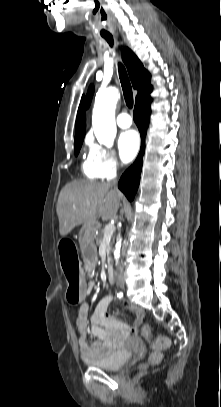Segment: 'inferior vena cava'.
<instances>
[{"label":"inferior vena cava","instance_id":"obj_1","mask_svg":"<svg viewBox=\"0 0 221 407\" xmlns=\"http://www.w3.org/2000/svg\"><path fill=\"white\" fill-rule=\"evenodd\" d=\"M116 183H117V179L111 181L109 184L111 186H113V185H116ZM122 256H124V251H122ZM122 271H123V262L121 261V264L118 267V272L122 273Z\"/></svg>","mask_w":221,"mask_h":407}]
</instances>
